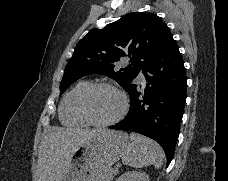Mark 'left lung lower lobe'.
Returning <instances> with one entry per match:
<instances>
[{"instance_id":"obj_1","label":"left lung lower lobe","mask_w":228,"mask_h":181,"mask_svg":"<svg viewBox=\"0 0 228 181\" xmlns=\"http://www.w3.org/2000/svg\"><path fill=\"white\" fill-rule=\"evenodd\" d=\"M146 86L130 90L126 117L110 129L132 131L158 142L171 162L186 101L187 78L178 46L169 38L142 68Z\"/></svg>"}]
</instances>
